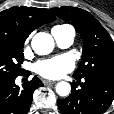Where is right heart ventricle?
<instances>
[{
	"label": "right heart ventricle",
	"instance_id": "e07e8e85",
	"mask_svg": "<svg viewBox=\"0 0 114 114\" xmlns=\"http://www.w3.org/2000/svg\"><path fill=\"white\" fill-rule=\"evenodd\" d=\"M62 26H64V25H58V26H55V27H62Z\"/></svg>",
	"mask_w": 114,
	"mask_h": 114
}]
</instances>
